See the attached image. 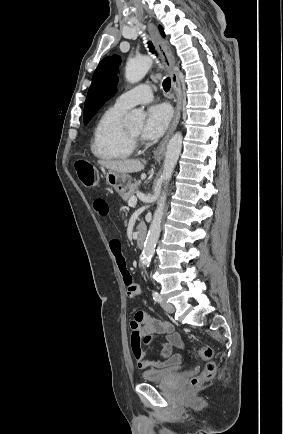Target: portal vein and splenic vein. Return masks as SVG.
<instances>
[{"instance_id":"portal-vein-and-splenic-vein-1","label":"portal vein and splenic vein","mask_w":283,"mask_h":434,"mask_svg":"<svg viewBox=\"0 0 283 434\" xmlns=\"http://www.w3.org/2000/svg\"><path fill=\"white\" fill-rule=\"evenodd\" d=\"M136 204H137V198H136L135 196L131 197V198L129 199V201H128V205H129L130 207H133V206H135Z\"/></svg>"}]
</instances>
